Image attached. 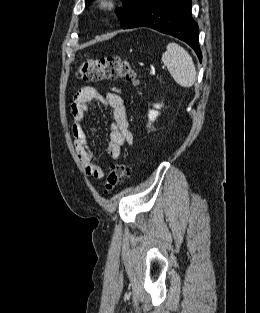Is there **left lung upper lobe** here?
<instances>
[{
	"mask_svg": "<svg viewBox=\"0 0 260 313\" xmlns=\"http://www.w3.org/2000/svg\"><path fill=\"white\" fill-rule=\"evenodd\" d=\"M92 0H85L86 3ZM124 8L117 9V15L122 20L121 27L125 29L132 20L152 1V0H122Z\"/></svg>",
	"mask_w": 260,
	"mask_h": 313,
	"instance_id": "obj_1",
	"label": "left lung upper lobe"
}]
</instances>
